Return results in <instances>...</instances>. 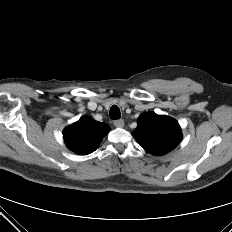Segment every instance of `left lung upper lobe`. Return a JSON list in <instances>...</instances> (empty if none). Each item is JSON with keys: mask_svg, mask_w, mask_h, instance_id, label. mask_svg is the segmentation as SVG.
I'll return each instance as SVG.
<instances>
[{"mask_svg": "<svg viewBox=\"0 0 232 232\" xmlns=\"http://www.w3.org/2000/svg\"><path fill=\"white\" fill-rule=\"evenodd\" d=\"M133 136L144 150L154 155L168 153L182 138L176 120L154 112L140 115Z\"/></svg>", "mask_w": 232, "mask_h": 232, "instance_id": "left-lung-upper-lobe-1", "label": "left lung upper lobe"}]
</instances>
